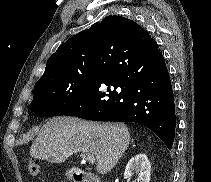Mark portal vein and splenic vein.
<instances>
[{
  "instance_id": "portal-vein-and-splenic-vein-1",
  "label": "portal vein and splenic vein",
  "mask_w": 211,
  "mask_h": 182,
  "mask_svg": "<svg viewBox=\"0 0 211 182\" xmlns=\"http://www.w3.org/2000/svg\"><path fill=\"white\" fill-rule=\"evenodd\" d=\"M83 157H86V159L90 162V163H95V156L93 154H88L85 155Z\"/></svg>"
}]
</instances>
